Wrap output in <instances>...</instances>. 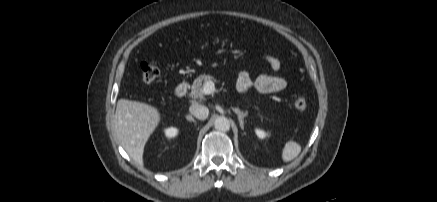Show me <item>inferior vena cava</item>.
<instances>
[{
	"label": "inferior vena cava",
	"instance_id": "inferior-vena-cava-1",
	"mask_svg": "<svg viewBox=\"0 0 437 202\" xmlns=\"http://www.w3.org/2000/svg\"><path fill=\"white\" fill-rule=\"evenodd\" d=\"M189 111L193 116L200 120H205L209 114L208 108L199 103L192 104L189 108Z\"/></svg>",
	"mask_w": 437,
	"mask_h": 202
}]
</instances>
